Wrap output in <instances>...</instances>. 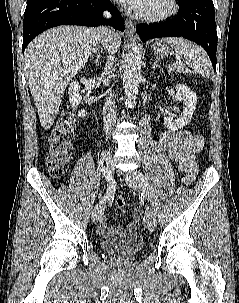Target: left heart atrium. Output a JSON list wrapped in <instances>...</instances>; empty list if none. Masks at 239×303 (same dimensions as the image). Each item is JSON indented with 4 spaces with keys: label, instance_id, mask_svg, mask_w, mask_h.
Masks as SVG:
<instances>
[{
    "label": "left heart atrium",
    "instance_id": "obj_1",
    "mask_svg": "<svg viewBox=\"0 0 239 303\" xmlns=\"http://www.w3.org/2000/svg\"><path fill=\"white\" fill-rule=\"evenodd\" d=\"M119 1L129 5L131 8L137 11H142L149 2V0H119Z\"/></svg>",
    "mask_w": 239,
    "mask_h": 303
}]
</instances>
